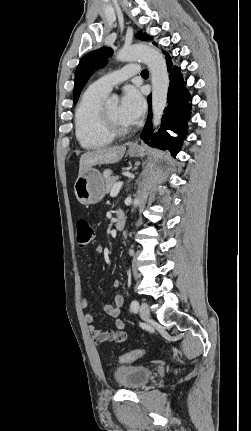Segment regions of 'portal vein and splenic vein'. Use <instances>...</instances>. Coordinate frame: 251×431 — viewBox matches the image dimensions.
Segmentation results:
<instances>
[{"label": "portal vein and splenic vein", "instance_id": "1", "mask_svg": "<svg viewBox=\"0 0 251 431\" xmlns=\"http://www.w3.org/2000/svg\"><path fill=\"white\" fill-rule=\"evenodd\" d=\"M122 185H123L122 181L115 183V185L113 186V188H112V190L110 192V196L111 197L117 196L118 193H119V191H120V189H121V187H122Z\"/></svg>", "mask_w": 251, "mask_h": 431}]
</instances>
